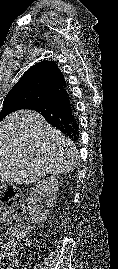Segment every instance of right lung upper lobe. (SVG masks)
Wrapping results in <instances>:
<instances>
[{
  "mask_svg": "<svg viewBox=\"0 0 118 269\" xmlns=\"http://www.w3.org/2000/svg\"><path fill=\"white\" fill-rule=\"evenodd\" d=\"M66 87L65 78L56 62L43 60L30 67L7 95H23L24 107L27 108Z\"/></svg>",
  "mask_w": 118,
  "mask_h": 269,
  "instance_id": "1",
  "label": "right lung upper lobe"
}]
</instances>
